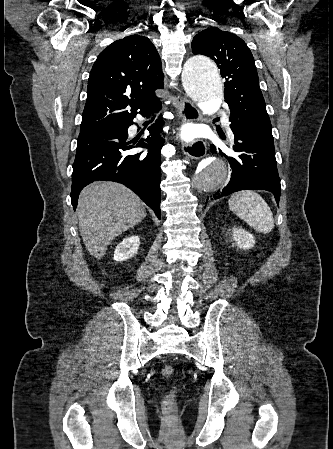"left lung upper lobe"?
Segmentation results:
<instances>
[{"instance_id":"left-lung-upper-lobe-1","label":"left lung upper lobe","mask_w":333,"mask_h":449,"mask_svg":"<svg viewBox=\"0 0 333 449\" xmlns=\"http://www.w3.org/2000/svg\"><path fill=\"white\" fill-rule=\"evenodd\" d=\"M193 54L213 59L224 78L225 101L242 121L272 129L259 87L253 55L246 43L230 32L207 28L193 38Z\"/></svg>"}]
</instances>
